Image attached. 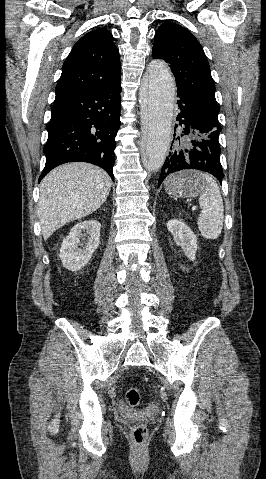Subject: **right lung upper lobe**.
<instances>
[{
	"mask_svg": "<svg viewBox=\"0 0 266 479\" xmlns=\"http://www.w3.org/2000/svg\"><path fill=\"white\" fill-rule=\"evenodd\" d=\"M119 51L105 28L85 34L72 48L62 67L56 95L90 89L120 80Z\"/></svg>",
	"mask_w": 266,
	"mask_h": 479,
	"instance_id": "right-lung-upper-lobe-1",
	"label": "right lung upper lobe"
}]
</instances>
